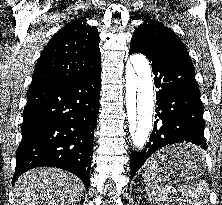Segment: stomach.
Returning a JSON list of instances; mask_svg holds the SVG:
<instances>
[{
	"mask_svg": "<svg viewBox=\"0 0 222 205\" xmlns=\"http://www.w3.org/2000/svg\"><path fill=\"white\" fill-rule=\"evenodd\" d=\"M186 150H199V148L193 144H177L166 147L157 153L163 159L159 164V170L163 172L166 181L170 183L188 182L191 179L199 178L204 173L206 167L204 158L195 165L183 166L170 163L173 156Z\"/></svg>",
	"mask_w": 222,
	"mask_h": 205,
	"instance_id": "obj_1",
	"label": "stomach"
}]
</instances>
